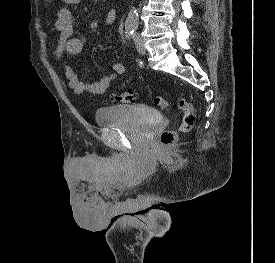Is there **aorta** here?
Wrapping results in <instances>:
<instances>
[{"label": "aorta", "mask_w": 275, "mask_h": 263, "mask_svg": "<svg viewBox=\"0 0 275 263\" xmlns=\"http://www.w3.org/2000/svg\"><path fill=\"white\" fill-rule=\"evenodd\" d=\"M139 23V15L138 12L135 8H132L129 11V14L126 18L125 26L130 29H135L137 28Z\"/></svg>", "instance_id": "1"}]
</instances>
